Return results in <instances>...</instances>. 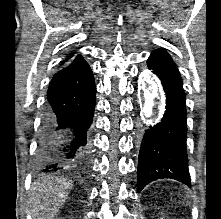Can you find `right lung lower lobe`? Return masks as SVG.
<instances>
[{
	"label": "right lung lower lobe",
	"instance_id": "98d812e1",
	"mask_svg": "<svg viewBox=\"0 0 221 219\" xmlns=\"http://www.w3.org/2000/svg\"><path fill=\"white\" fill-rule=\"evenodd\" d=\"M96 86L88 63L75 57L52 78L39 135L37 168L54 172L85 160Z\"/></svg>",
	"mask_w": 221,
	"mask_h": 219
}]
</instances>
